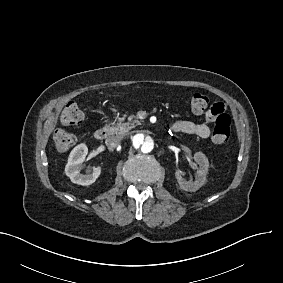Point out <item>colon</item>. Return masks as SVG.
<instances>
[{
    "instance_id": "colon-1",
    "label": "colon",
    "mask_w": 283,
    "mask_h": 283,
    "mask_svg": "<svg viewBox=\"0 0 283 283\" xmlns=\"http://www.w3.org/2000/svg\"><path fill=\"white\" fill-rule=\"evenodd\" d=\"M208 106L209 98L204 93H195L191 96L189 101L191 113L200 115L207 110ZM83 118L84 115L81 108L75 103L67 104L61 114V122L64 125H78L82 122ZM230 128V116L225 120L214 121L212 141L217 145L224 144L230 136ZM53 139L59 151H67L76 143L75 135L62 129L54 132Z\"/></svg>"
}]
</instances>
